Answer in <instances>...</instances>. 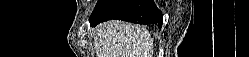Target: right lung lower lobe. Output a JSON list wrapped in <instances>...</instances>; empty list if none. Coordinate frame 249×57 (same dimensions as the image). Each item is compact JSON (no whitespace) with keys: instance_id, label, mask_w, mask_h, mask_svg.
Wrapping results in <instances>:
<instances>
[{"instance_id":"obj_1","label":"right lung lower lobe","mask_w":249,"mask_h":57,"mask_svg":"<svg viewBox=\"0 0 249 57\" xmlns=\"http://www.w3.org/2000/svg\"><path fill=\"white\" fill-rule=\"evenodd\" d=\"M110 19L158 24L159 27L163 23L162 12L153 0H99L90 18L91 25Z\"/></svg>"}]
</instances>
